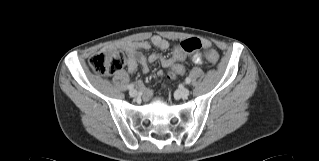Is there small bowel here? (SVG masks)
I'll return each mask as SVG.
<instances>
[{"label":"small bowel","mask_w":319,"mask_h":161,"mask_svg":"<svg viewBox=\"0 0 319 161\" xmlns=\"http://www.w3.org/2000/svg\"><path fill=\"white\" fill-rule=\"evenodd\" d=\"M155 46L161 50H166L171 46V43L158 36L154 35L151 37L149 41H139V42H124L114 45H108L103 48V52H114L121 51L127 55V69L129 73H133L138 65L141 66L142 72H148V64H152L155 62L161 63L164 68L170 70V72H174L175 77L181 76L184 73V67L181 63H176L172 58H165L160 54H151L148 57L139 53V50L149 49L151 46ZM203 45L205 47H210V42L207 40L203 41ZM191 60L194 64L200 65L203 62L202 56L199 53L192 55ZM137 86L142 91V99L144 102H147L151 97V92L148 88L145 87L142 81L137 82Z\"/></svg>","instance_id":"c3829d8e"}]
</instances>
